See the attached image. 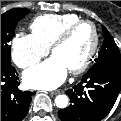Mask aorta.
Returning <instances> with one entry per match:
<instances>
[{"label": "aorta", "instance_id": "obj_1", "mask_svg": "<svg viewBox=\"0 0 121 121\" xmlns=\"http://www.w3.org/2000/svg\"><path fill=\"white\" fill-rule=\"evenodd\" d=\"M68 97L66 95H58L55 98V104L58 108L63 109L68 106Z\"/></svg>", "mask_w": 121, "mask_h": 121}]
</instances>
